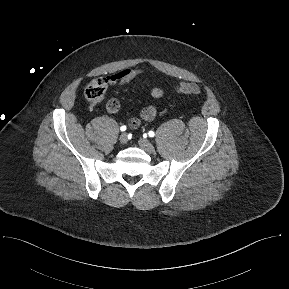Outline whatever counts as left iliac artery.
<instances>
[{"label":"left iliac artery","instance_id":"44dca946","mask_svg":"<svg viewBox=\"0 0 289 289\" xmlns=\"http://www.w3.org/2000/svg\"><path fill=\"white\" fill-rule=\"evenodd\" d=\"M148 135H149V137H154V136H155V133H154L153 131H149V132H148Z\"/></svg>","mask_w":289,"mask_h":289}]
</instances>
